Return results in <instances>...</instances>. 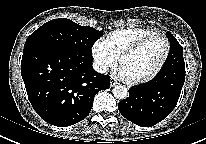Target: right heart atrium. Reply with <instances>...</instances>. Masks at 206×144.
Listing matches in <instances>:
<instances>
[{
  "instance_id": "obj_1",
  "label": "right heart atrium",
  "mask_w": 206,
  "mask_h": 144,
  "mask_svg": "<svg viewBox=\"0 0 206 144\" xmlns=\"http://www.w3.org/2000/svg\"><path fill=\"white\" fill-rule=\"evenodd\" d=\"M92 57L98 71L104 73L117 65L118 58L110 50L105 40H96L91 47Z\"/></svg>"
}]
</instances>
